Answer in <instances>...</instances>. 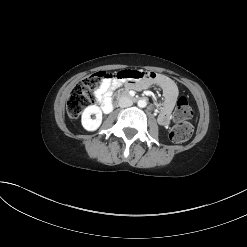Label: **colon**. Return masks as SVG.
<instances>
[{
	"instance_id": "obj_1",
	"label": "colon",
	"mask_w": 247,
	"mask_h": 247,
	"mask_svg": "<svg viewBox=\"0 0 247 247\" xmlns=\"http://www.w3.org/2000/svg\"><path fill=\"white\" fill-rule=\"evenodd\" d=\"M134 71V70H133ZM115 74L104 71L96 72L86 77L80 84L76 85L67 101V113L70 118L76 119L82 111L94 102V93L100 88L106 78H113ZM192 109L185 97L177 100L174 110L175 125L173 126L170 138L172 141L180 143L187 141L192 133L193 126L188 122L192 117Z\"/></svg>"
}]
</instances>
